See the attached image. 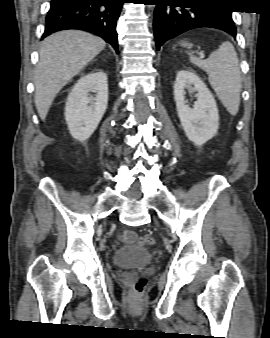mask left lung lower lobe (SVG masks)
I'll use <instances>...</instances> for the list:
<instances>
[{
	"instance_id": "0a47b994",
	"label": "left lung lower lobe",
	"mask_w": 270,
	"mask_h": 338,
	"mask_svg": "<svg viewBox=\"0 0 270 338\" xmlns=\"http://www.w3.org/2000/svg\"><path fill=\"white\" fill-rule=\"evenodd\" d=\"M155 3L154 36L156 47L188 30L216 28L236 38L231 12L223 0H151ZM194 5L192 7L185 6ZM190 8V9H187Z\"/></svg>"
}]
</instances>
